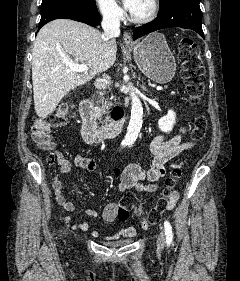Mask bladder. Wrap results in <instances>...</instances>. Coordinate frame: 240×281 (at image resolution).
I'll list each match as a JSON object with an SVG mask.
<instances>
[{
	"mask_svg": "<svg viewBox=\"0 0 240 281\" xmlns=\"http://www.w3.org/2000/svg\"><path fill=\"white\" fill-rule=\"evenodd\" d=\"M131 242V238H123L119 240L107 241L105 244L111 247H123L129 245Z\"/></svg>",
	"mask_w": 240,
	"mask_h": 281,
	"instance_id": "1",
	"label": "bladder"
}]
</instances>
